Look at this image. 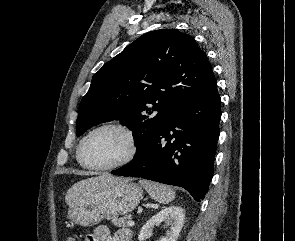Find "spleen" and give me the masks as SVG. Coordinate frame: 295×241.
<instances>
[{
  "mask_svg": "<svg viewBox=\"0 0 295 241\" xmlns=\"http://www.w3.org/2000/svg\"><path fill=\"white\" fill-rule=\"evenodd\" d=\"M139 184L145 188L153 200L162 204H168L175 198V191L164 184L139 180Z\"/></svg>",
  "mask_w": 295,
  "mask_h": 241,
  "instance_id": "1",
  "label": "spleen"
}]
</instances>
